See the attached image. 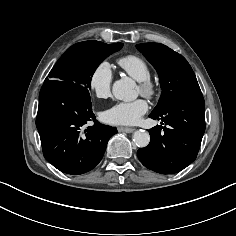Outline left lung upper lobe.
Segmentation results:
<instances>
[{
  "mask_svg": "<svg viewBox=\"0 0 236 236\" xmlns=\"http://www.w3.org/2000/svg\"><path fill=\"white\" fill-rule=\"evenodd\" d=\"M137 49L155 67L162 88L161 97L151 114H160L178 96L201 91L186 59L160 43L138 44Z\"/></svg>",
  "mask_w": 236,
  "mask_h": 236,
  "instance_id": "5c2ea615",
  "label": "left lung upper lobe"
}]
</instances>
